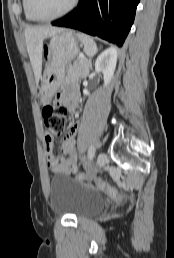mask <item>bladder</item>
<instances>
[{"label": "bladder", "mask_w": 174, "mask_h": 258, "mask_svg": "<svg viewBox=\"0 0 174 258\" xmlns=\"http://www.w3.org/2000/svg\"><path fill=\"white\" fill-rule=\"evenodd\" d=\"M49 200L55 212L76 218L94 215L106 204L100 194L81 187L72 178L61 174L54 175L50 180Z\"/></svg>", "instance_id": "31cf9c89"}]
</instances>
